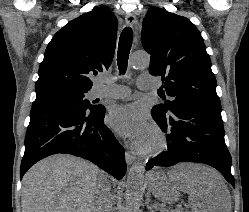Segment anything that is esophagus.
<instances>
[{"label": "esophagus", "instance_id": "34e87169", "mask_svg": "<svg viewBox=\"0 0 249 212\" xmlns=\"http://www.w3.org/2000/svg\"><path fill=\"white\" fill-rule=\"evenodd\" d=\"M125 22L127 23V25L134 26L136 24L135 15L133 13H127L125 16ZM125 157H126V162L128 165L133 164L136 160L135 155H133L130 152H126Z\"/></svg>", "mask_w": 249, "mask_h": 212}]
</instances>
